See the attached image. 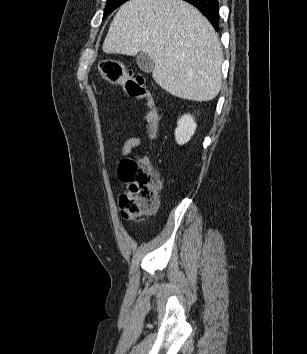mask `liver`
<instances>
[{
	"label": "liver",
	"instance_id": "obj_1",
	"mask_svg": "<svg viewBox=\"0 0 307 354\" xmlns=\"http://www.w3.org/2000/svg\"><path fill=\"white\" fill-rule=\"evenodd\" d=\"M103 51L135 56L147 53L152 77L170 94L210 101L222 84L223 54L210 22L182 0H129L113 18Z\"/></svg>",
	"mask_w": 307,
	"mask_h": 354
}]
</instances>
